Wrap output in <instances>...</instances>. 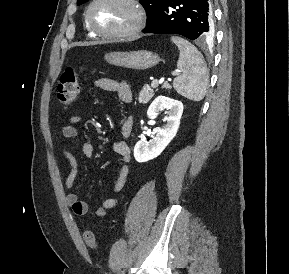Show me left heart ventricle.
Segmentation results:
<instances>
[{"instance_id":"left-heart-ventricle-1","label":"left heart ventricle","mask_w":289,"mask_h":274,"mask_svg":"<svg viewBox=\"0 0 289 274\" xmlns=\"http://www.w3.org/2000/svg\"><path fill=\"white\" fill-rule=\"evenodd\" d=\"M133 18L132 8L121 0H102L91 10L93 25L107 32L125 29L131 25Z\"/></svg>"}]
</instances>
